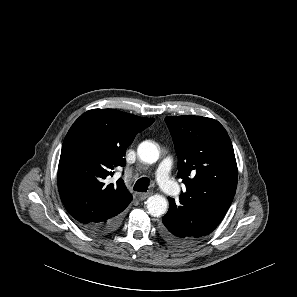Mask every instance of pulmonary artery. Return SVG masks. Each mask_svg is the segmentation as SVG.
<instances>
[{"mask_svg": "<svg viewBox=\"0 0 297 297\" xmlns=\"http://www.w3.org/2000/svg\"><path fill=\"white\" fill-rule=\"evenodd\" d=\"M172 167V160L166 157L161 160L156 170V179L161 188L170 195L177 192L176 184L170 179V170Z\"/></svg>", "mask_w": 297, "mask_h": 297, "instance_id": "e3ab8cb5", "label": "pulmonary artery"}]
</instances>
